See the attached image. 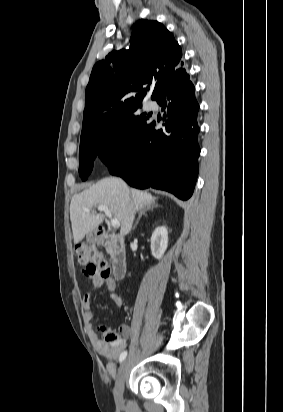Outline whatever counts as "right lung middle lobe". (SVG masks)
<instances>
[{
	"label": "right lung middle lobe",
	"instance_id": "obj_1",
	"mask_svg": "<svg viewBox=\"0 0 283 412\" xmlns=\"http://www.w3.org/2000/svg\"><path fill=\"white\" fill-rule=\"evenodd\" d=\"M138 108H135L116 127L80 140L79 174L82 180H86L91 173L97 156L108 165L127 154L149 119L145 113L136 115Z\"/></svg>",
	"mask_w": 283,
	"mask_h": 412
}]
</instances>
